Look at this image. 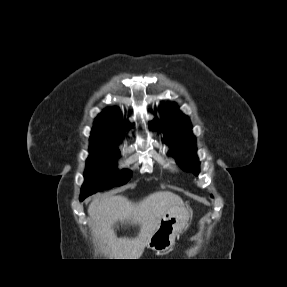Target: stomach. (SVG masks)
<instances>
[{
  "label": "stomach",
  "mask_w": 287,
  "mask_h": 287,
  "mask_svg": "<svg viewBox=\"0 0 287 287\" xmlns=\"http://www.w3.org/2000/svg\"><path fill=\"white\" fill-rule=\"evenodd\" d=\"M189 218L190 213L184 205L168 210L149 239L148 247L158 253L168 251L174 245L176 236L188 225Z\"/></svg>",
  "instance_id": "stomach-1"
}]
</instances>
